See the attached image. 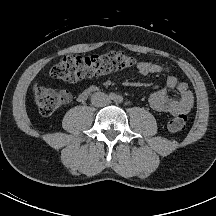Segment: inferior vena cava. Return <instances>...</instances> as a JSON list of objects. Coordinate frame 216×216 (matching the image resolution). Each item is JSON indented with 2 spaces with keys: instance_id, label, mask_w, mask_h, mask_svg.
<instances>
[{
  "instance_id": "inferior-vena-cava-1",
  "label": "inferior vena cava",
  "mask_w": 216,
  "mask_h": 216,
  "mask_svg": "<svg viewBox=\"0 0 216 216\" xmlns=\"http://www.w3.org/2000/svg\"><path fill=\"white\" fill-rule=\"evenodd\" d=\"M91 103L95 107H104L109 103V97L103 92L93 93Z\"/></svg>"
}]
</instances>
